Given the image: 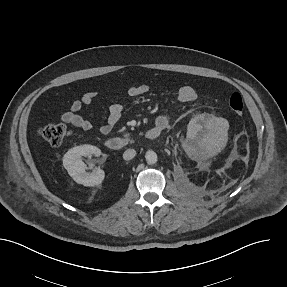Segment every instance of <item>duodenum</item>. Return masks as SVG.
Segmentation results:
<instances>
[{"instance_id": "410a0bca", "label": "duodenum", "mask_w": 287, "mask_h": 287, "mask_svg": "<svg viewBox=\"0 0 287 287\" xmlns=\"http://www.w3.org/2000/svg\"><path fill=\"white\" fill-rule=\"evenodd\" d=\"M162 131V128L154 126L146 132V137L150 140H155L160 136ZM127 144V140L122 137H112L105 141V146L110 150H121L126 147Z\"/></svg>"}]
</instances>
